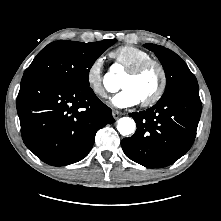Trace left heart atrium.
Returning <instances> with one entry per match:
<instances>
[{
    "label": "left heart atrium",
    "mask_w": 221,
    "mask_h": 221,
    "mask_svg": "<svg viewBox=\"0 0 221 221\" xmlns=\"http://www.w3.org/2000/svg\"><path fill=\"white\" fill-rule=\"evenodd\" d=\"M139 102V97L130 88H122V90L112 98V103L119 108L131 107L137 105Z\"/></svg>",
    "instance_id": "obj_1"
}]
</instances>
